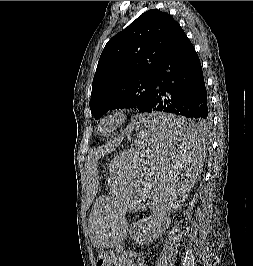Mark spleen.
I'll use <instances>...</instances> for the list:
<instances>
[{
  "instance_id": "3e777b00",
  "label": "spleen",
  "mask_w": 253,
  "mask_h": 266,
  "mask_svg": "<svg viewBox=\"0 0 253 266\" xmlns=\"http://www.w3.org/2000/svg\"><path fill=\"white\" fill-rule=\"evenodd\" d=\"M136 139L132 153H116L112 161L115 207H94L89 235L94 246L128 248L127 229L135 210L164 214L187 203L204 155V123L173 111L133 117Z\"/></svg>"
}]
</instances>
